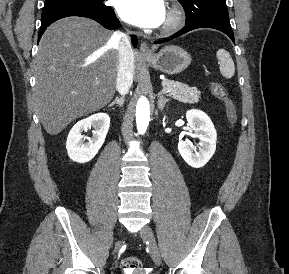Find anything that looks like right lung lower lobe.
I'll use <instances>...</instances> for the list:
<instances>
[{
    "label": "right lung lower lobe",
    "mask_w": 289,
    "mask_h": 274,
    "mask_svg": "<svg viewBox=\"0 0 289 274\" xmlns=\"http://www.w3.org/2000/svg\"><path fill=\"white\" fill-rule=\"evenodd\" d=\"M69 16H79L90 18L107 29H116L120 27L119 20L117 19L114 10L111 7H107L103 10L88 9L79 6H67L54 8L47 11H42L41 27L38 34V40H40L46 28L53 22ZM132 44L137 46L136 36H132Z\"/></svg>",
    "instance_id": "98d812e1"
}]
</instances>
